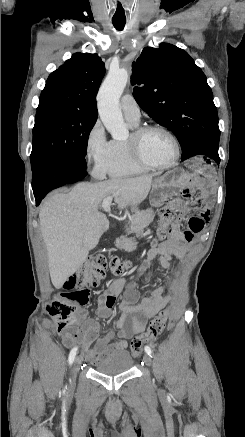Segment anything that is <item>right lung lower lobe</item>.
<instances>
[{
	"label": "right lung lower lobe",
	"mask_w": 245,
	"mask_h": 437,
	"mask_svg": "<svg viewBox=\"0 0 245 437\" xmlns=\"http://www.w3.org/2000/svg\"><path fill=\"white\" fill-rule=\"evenodd\" d=\"M32 172V189L36 205L40 204L49 191L77 182L87 175L86 165H71L56 160L40 164Z\"/></svg>",
	"instance_id": "right-lung-lower-lobe-1"
}]
</instances>
